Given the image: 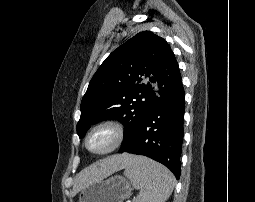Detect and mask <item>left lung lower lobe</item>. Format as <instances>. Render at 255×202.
<instances>
[{"instance_id":"0a47b994","label":"left lung lower lobe","mask_w":255,"mask_h":202,"mask_svg":"<svg viewBox=\"0 0 255 202\" xmlns=\"http://www.w3.org/2000/svg\"><path fill=\"white\" fill-rule=\"evenodd\" d=\"M185 93L181 84L150 110L131 141L119 151L147 156L181 174Z\"/></svg>"}]
</instances>
